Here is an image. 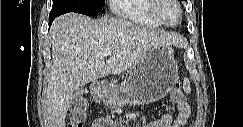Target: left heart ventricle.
I'll use <instances>...</instances> for the list:
<instances>
[{"label":"left heart ventricle","mask_w":243,"mask_h":127,"mask_svg":"<svg viewBox=\"0 0 243 127\" xmlns=\"http://www.w3.org/2000/svg\"><path fill=\"white\" fill-rule=\"evenodd\" d=\"M164 19L169 23H175L180 16L178 7L172 1H166L161 8Z\"/></svg>","instance_id":"obj_1"}]
</instances>
